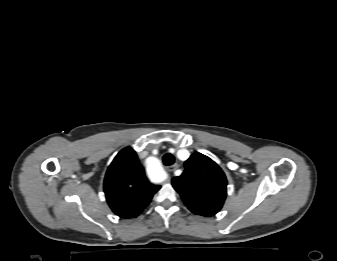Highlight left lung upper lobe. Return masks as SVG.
<instances>
[{
  "instance_id": "1",
  "label": "left lung upper lobe",
  "mask_w": 337,
  "mask_h": 261,
  "mask_svg": "<svg viewBox=\"0 0 337 261\" xmlns=\"http://www.w3.org/2000/svg\"><path fill=\"white\" fill-rule=\"evenodd\" d=\"M185 170L172 179L188 209L201 216H213L223 206L227 180L221 168L209 157L194 153L184 163Z\"/></svg>"
}]
</instances>
